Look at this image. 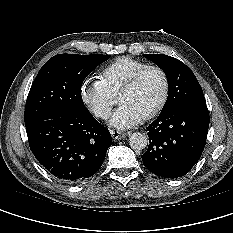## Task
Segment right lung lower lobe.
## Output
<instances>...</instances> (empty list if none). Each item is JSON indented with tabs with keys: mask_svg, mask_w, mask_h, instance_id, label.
I'll return each mask as SVG.
<instances>
[{
	"mask_svg": "<svg viewBox=\"0 0 233 233\" xmlns=\"http://www.w3.org/2000/svg\"><path fill=\"white\" fill-rule=\"evenodd\" d=\"M26 132L36 159L66 183L94 175L112 145L108 129L87 109L31 124Z\"/></svg>",
	"mask_w": 233,
	"mask_h": 233,
	"instance_id": "obj_1",
	"label": "right lung lower lobe"
}]
</instances>
